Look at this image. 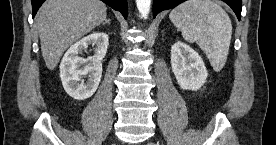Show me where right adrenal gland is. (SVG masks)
Listing matches in <instances>:
<instances>
[{"instance_id": "2a0ac1e0", "label": "right adrenal gland", "mask_w": 276, "mask_h": 145, "mask_svg": "<svg viewBox=\"0 0 276 145\" xmlns=\"http://www.w3.org/2000/svg\"><path fill=\"white\" fill-rule=\"evenodd\" d=\"M110 19H106L105 21H104V23H103V25H105V24H110Z\"/></svg>"}]
</instances>
